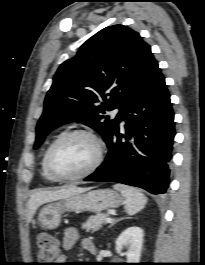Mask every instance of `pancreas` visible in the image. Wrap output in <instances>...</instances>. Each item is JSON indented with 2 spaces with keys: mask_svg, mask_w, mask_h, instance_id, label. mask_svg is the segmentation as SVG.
I'll return each mask as SVG.
<instances>
[{
  "mask_svg": "<svg viewBox=\"0 0 205 265\" xmlns=\"http://www.w3.org/2000/svg\"><path fill=\"white\" fill-rule=\"evenodd\" d=\"M108 217L105 213H98L96 215H92L88 218V220L82 224V229L86 232H94L101 228L105 219Z\"/></svg>",
  "mask_w": 205,
  "mask_h": 265,
  "instance_id": "1",
  "label": "pancreas"
}]
</instances>
